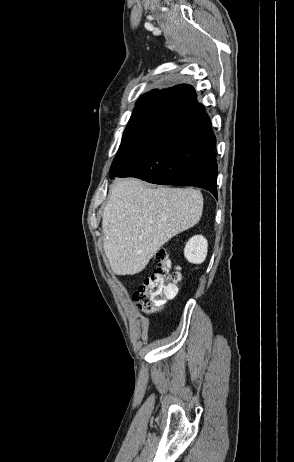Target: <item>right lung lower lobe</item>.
I'll return each mask as SVG.
<instances>
[{
	"label": "right lung lower lobe",
	"mask_w": 294,
	"mask_h": 462,
	"mask_svg": "<svg viewBox=\"0 0 294 462\" xmlns=\"http://www.w3.org/2000/svg\"><path fill=\"white\" fill-rule=\"evenodd\" d=\"M194 91L188 105L155 140L114 177H137L155 184L196 186L217 198L216 139Z\"/></svg>",
	"instance_id": "1"
}]
</instances>
